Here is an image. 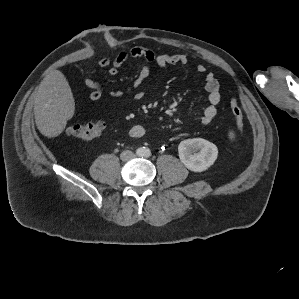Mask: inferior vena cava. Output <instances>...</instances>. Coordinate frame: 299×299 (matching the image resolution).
Returning <instances> with one entry per match:
<instances>
[{
    "label": "inferior vena cava",
    "mask_w": 299,
    "mask_h": 299,
    "mask_svg": "<svg viewBox=\"0 0 299 299\" xmlns=\"http://www.w3.org/2000/svg\"><path fill=\"white\" fill-rule=\"evenodd\" d=\"M120 157H121V159H122L123 161H128V160L134 158V157H135V154H134L132 151H128V150H127V151H123V152L121 153Z\"/></svg>",
    "instance_id": "602c4592"
}]
</instances>
